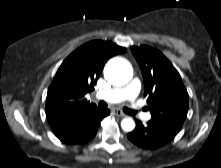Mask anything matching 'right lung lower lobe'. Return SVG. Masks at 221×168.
Instances as JSON below:
<instances>
[{
  "label": "right lung lower lobe",
  "mask_w": 221,
  "mask_h": 168,
  "mask_svg": "<svg viewBox=\"0 0 221 168\" xmlns=\"http://www.w3.org/2000/svg\"><path fill=\"white\" fill-rule=\"evenodd\" d=\"M110 114L109 109L93 108L63 118L50 120L55 136L66 144H81L97 133L101 120Z\"/></svg>",
  "instance_id": "98d812e1"
}]
</instances>
